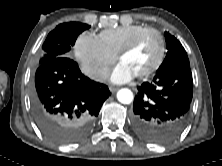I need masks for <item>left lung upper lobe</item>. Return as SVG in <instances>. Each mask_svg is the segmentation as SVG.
Segmentation results:
<instances>
[{"label": "left lung upper lobe", "instance_id": "1", "mask_svg": "<svg viewBox=\"0 0 222 166\" xmlns=\"http://www.w3.org/2000/svg\"><path fill=\"white\" fill-rule=\"evenodd\" d=\"M168 52L156 73L175 67H190L187 53L181 43L170 33H164Z\"/></svg>", "mask_w": 222, "mask_h": 166}]
</instances>
